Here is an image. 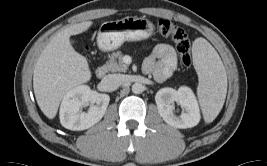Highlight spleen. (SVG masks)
Instances as JSON below:
<instances>
[{
    "mask_svg": "<svg viewBox=\"0 0 267 166\" xmlns=\"http://www.w3.org/2000/svg\"><path fill=\"white\" fill-rule=\"evenodd\" d=\"M193 65L199 77L197 96L206 123L220 113L227 94V76L216 50L204 39L197 38L192 46Z\"/></svg>",
    "mask_w": 267,
    "mask_h": 166,
    "instance_id": "spleen-1",
    "label": "spleen"
}]
</instances>
